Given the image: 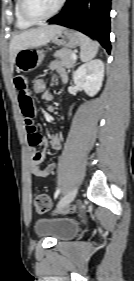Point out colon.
Here are the masks:
<instances>
[{"label": "colon", "instance_id": "obj_1", "mask_svg": "<svg viewBox=\"0 0 134 281\" xmlns=\"http://www.w3.org/2000/svg\"><path fill=\"white\" fill-rule=\"evenodd\" d=\"M32 90L36 94H44L47 91V84L44 78L36 77L32 83ZM33 203L37 211L47 212L51 208L50 197L46 194L38 193L33 197ZM73 211L69 209L68 212Z\"/></svg>", "mask_w": 134, "mask_h": 281}]
</instances>
